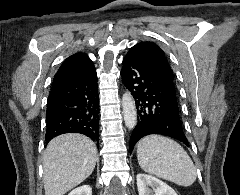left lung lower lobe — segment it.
Masks as SVG:
<instances>
[{
	"label": "left lung lower lobe",
	"mask_w": 240,
	"mask_h": 195,
	"mask_svg": "<svg viewBox=\"0 0 240 195\" xmlns=\"http://www.w3.org/2000/svg\"><path fill=\"white\" fill-rule=\"evenodd\" d=\"M121 77L134 96L138 110V122L130 138V152L140 138L149 134L166 135L189 146L180 120L175 84L128 56L123 60Z\"/></svg>",
	"instance_id": "left-lung-lower-lobe-1"
}]
</instances>
